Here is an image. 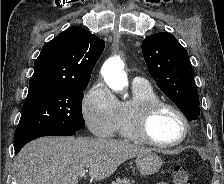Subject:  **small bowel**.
Segmentation results:
<instances>
[{
  "label": "small bowel",
  "mask_w": 224,
  "mask_h": 184,
  "mask_svg": "<svg viewBox=\"0 0 224 184\" xmlns=\"http://www.w3.org/2000/svg\"><path fill=\"white\" fill-rule=\"evenodd\" d=\"M158 184H168V183H165V182H161V183H158Z\"/></svg>",
  "instance_id": "c3829d8e"
}]
</instances>
